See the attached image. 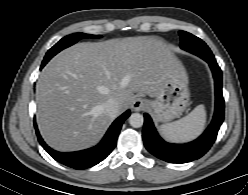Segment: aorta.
<instances>
[{
	"label": "aorta",
	"instance_id": "obj_1",
	"mask_svg": "<svg viewBox=\"0 0 248 195\" xmlns=\"http://www.w3.org/2000/svg\"><path fill=\"white\" fill-rule=\"evenodd\" d=\"M129 123L134 128H139L144 123V117L140 113H133L129 117Z\"/></svg>",
	"mask_w": 248,
	"mask_h": 195
}]
</instances>
